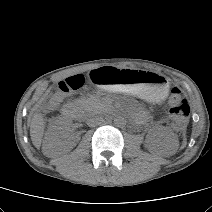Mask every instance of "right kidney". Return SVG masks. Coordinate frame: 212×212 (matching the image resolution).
Masks as SVG:
<instances>
[{"instance_id":"right-kidney-1","label":"right kidney","mask_w":212,"mask_h":212,"mask_svg":"<svg viewBox=\"0 0 212 212\" xmlns=\"http://www.w3.org/2000/svg\"><path fill=\"white\" fill-rule=\"evenodd\" d=\"M63 127L59 124L52 126V129L46 133L43 141L42 151L47 157H55L60 154L69 152L79 141L78 136L62 137Z\"/></svg>"}]
</instances>
